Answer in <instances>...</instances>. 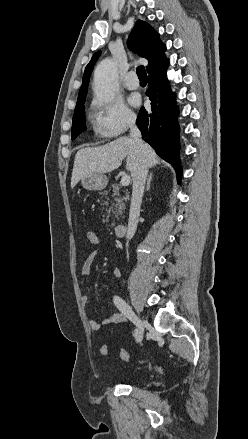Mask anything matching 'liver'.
I'll list each match as a JSON object with an SVG mask.
<instances>
[{
    "mask_svg": "<svg viewBox=\"0 0 248 439\" xmlns=\"http://www.w3.org/2000/svg\"><path fill=\"white\" fill-rule=\"evenodd\" d=\"M149 167L158 163V157L147 143H143ZM126 169L133 175L140 160L139 149L131 137H120L106 145L80 149L76 155L72 170L71 188L85 176L92 173H108L117 169L123 159Z\"/></svg>",
    "mask_w": 248,
    "mask_h": 439,
    "instance_id": "obj_1",
    "label": "liver"
}]
</instances>
